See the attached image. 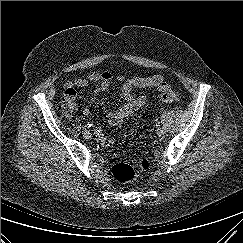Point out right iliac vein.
<instances>
[{"label": "right iliac vein", "mask_w": 243, "mask_h": 243, "mask_svg": "<svg viewBox=\"0 0 243 243\" xmlns=\"http://www.w3.org/2000/svg\"><path fill=\"white\" fill-rule=\"evenodd\" d=\"M83 136L86 138V139H89L91 138V133L89 130H84L83 131Z\"/></svg>", "instance_id": "1"}]
</instances>
